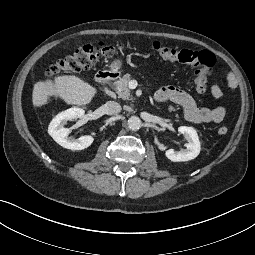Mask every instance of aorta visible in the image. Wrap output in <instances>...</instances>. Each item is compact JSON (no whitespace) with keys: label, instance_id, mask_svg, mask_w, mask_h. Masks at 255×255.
<instances>
[{"label":"aorta","instance_id":"1","mask_svg":"<svg viewBox=\"0 0 255 255\" xmlns=\"http://www.w3.org/2000/svg\"><path fill=\"white\" fill-rule=\"evenodd\" d=\"M128 128L132 131H137L142 127V121L137 116H131L127 122Z\"/></svg>","mask_w":255,"mask_h":255}]
</instances>
